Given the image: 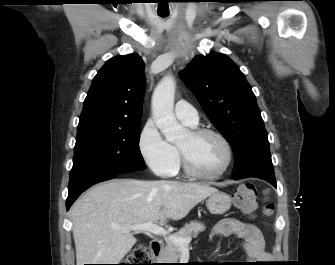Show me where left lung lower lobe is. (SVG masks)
I'll return each mask as SVG.
<instances>
[{
  "instance_id": "0a47b994",
  "label": "left lung lower lobe",
  "mask_w": 335,
  "mask_h": 265,
  "mask_svg": "<svg viewBox=\"0 0 335 265\" xmlns=\"http://www.w3.org/2000/svg\"><path fill=\"white\" fill-rule=\"evenodd\" d=\"M245 177H256V178H260V179H263V180L268 181V182L271 183L274 187H276L275 177H269V176H265V175H261V174H249V175H246V176H243V177H240V176H234V175H233V178H234V179H241V178H245Z\"/></svg>"
}]
</instances>
